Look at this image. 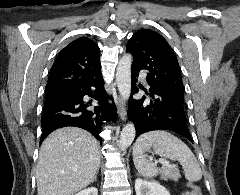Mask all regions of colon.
I'll use <instances>...</instances> for the list:
<instances>
[{
	"label": "colon",
	"mask_w": 240,
	"mask_h": 195,
	"mask_svg": "<svg viewBox=\"0 0 240 195\" xmlns=\"http://www.w3.org/2000/svg\"><path fill=\"white\" fill-rule=\"evenodd\" d=\"M187 191H190V195H202L201 189H196L194 184H191L190 186L186 187Z\"/></svg>",
	"instance_id": "1"
}]
</instances>
